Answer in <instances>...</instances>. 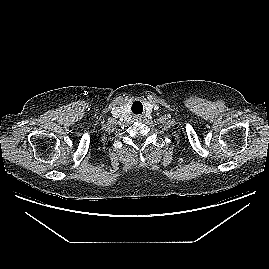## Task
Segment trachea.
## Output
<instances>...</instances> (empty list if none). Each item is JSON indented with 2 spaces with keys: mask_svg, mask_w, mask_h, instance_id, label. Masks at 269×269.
I'll return each instance as SVG.
<instances>
[{
  "mask_svg": "<svg viewBox=\"0 0 269 269\" xmlns=\"http://www.w3.org/2000/svg\"><path fill=\"white\" fill-rule=\"evenodd\" d=\"M131 108L133 113L141 114L143 111V106L139 101H135Z\"/></svg>",
  "mask_w": 269,
  "mask_h": 269,
  "instance_id": "trachea-1",
  "label": "trachea"
}]
</instances>
